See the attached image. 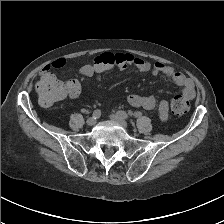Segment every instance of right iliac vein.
Returning <instances> with one entry per match:
<instances>
[{
	"mask_svg": "<svg viewBox=\"0 0 224 224\" xmlns=\"http://www.w3.org/2000/svg\"><path fill=\"white\" fill-rule=\"evenodd\" d=\"M95 124H96V119H94L93 117L87 119V125L93 126Z\"/></svg>",
	"mask_w": 224,
	"mask_h": 224,
	"instance_id": "1",
	"label": "right iliac vein"
}]
</instances>
